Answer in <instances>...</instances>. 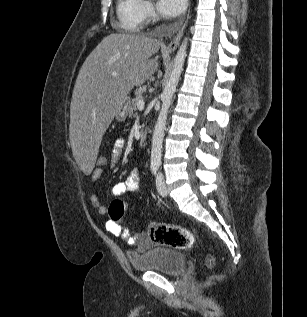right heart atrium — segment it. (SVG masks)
<instances>
[{"instance_id":"1","label":"right heart atrium","mask_w":307,"mask_h":317,"mask_svg":"<svg viewBox=\"0 0 307 317\" xmlns=\"http://www.w3.org/2000/svg\"><path fill=\"white\" fill-rule=\"evenodd\" d=\"M142 14H143L144 21L146 22H150L155 18L156 13L151 2L149 1L143 2Z\"/></svg>"}]
</instances>
